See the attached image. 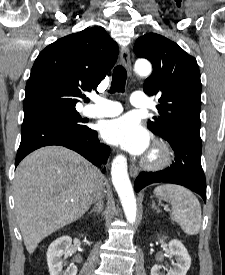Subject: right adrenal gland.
Wrapping results in <instances>:
<instances>
[{
	"instance_id": "obj_1",
	"label": "right adrenal gland",
	"mask_w": 225,
	"mask_h": 275,
	"mask_svg": "<svg viewBox=\"0 0 225 275\" xmlns=\"http://www.w3.org/2000/svg\"><path fill=\"white\" fill-rule=\"evenodd\" d=\"M103 210V202L102 200H99L98 202L95 203V206L93 209L90 211V213H96V214H101Z\"/></svg>"
}]
</instances>
